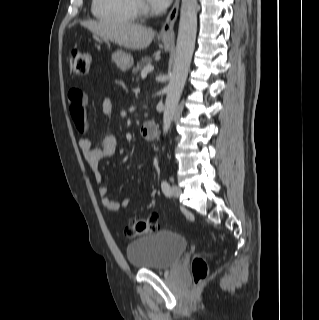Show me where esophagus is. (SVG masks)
<instances>
[{
    "label": "esophagus",
    "instance_id": "obj_1",
    "mask_svg": "<svg viewBox=\"0 0 319 320\" xmlns=\"http://www.w3.org/2000/svg\"><path fill=\"white\" fill-rule=\"evenodd\" d=\"M179 4L180 0H175L174 5L159 32V36L169 42L174 41V24L178 16Z\"/></svg>",
    "mask_w": 319,
    "mask_h": 320
}]
</instances>
